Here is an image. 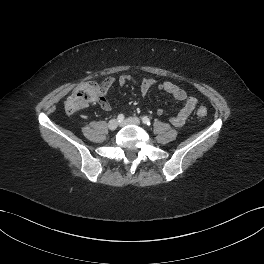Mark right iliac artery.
Wrapping results in <instances>:
<instances>
[{
    "instance_id": "obj_1",
    "label": "right iliac artery",
    "mask_w": 264,
    "mask_h": 264,
    "mask_svg": "<svg viewBox=\"0 0 264 264\" xmlns=\"http://www.w3.org/2000/svg\"><path fill=\"white\" fill-rule=\"evenodd\" d=\"M125 116L123 114H119L117 117L118 122H122L124 120Z\"/></svg>"
}]
</instances>
